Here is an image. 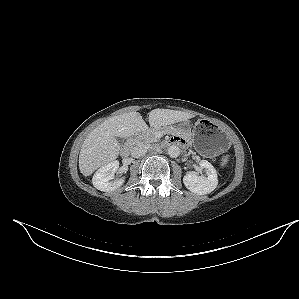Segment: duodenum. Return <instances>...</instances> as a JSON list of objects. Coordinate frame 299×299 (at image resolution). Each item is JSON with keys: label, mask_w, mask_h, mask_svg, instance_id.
<instances>
[{"label": "duodenum", "mask_w": 299, "mask_h": 299, "mask_svg": "<svg viewBox=\"0 0 299 299\" xmlns=\"http://www.w3.org/2000/svg\"><path fill=\"white\" fill-rule=\"evenodd\" d=\"M181 140L178 138V137H174L172 138L169 143L170 144H175V143H179ZM135 144V140L132 138V139H129L124 145L123 147L121 148V155L122 156H127L129 153H130V150L132 149V147L134 146Z\"/></svg>", "instance_id": "duodenum-1"}]
</instances>
